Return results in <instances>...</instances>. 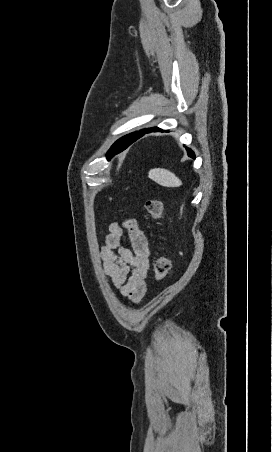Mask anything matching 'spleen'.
Returning <instances> with one entry per match:
<instances>
[{"label":"spleen","instance_id":"spleen-1","mask_svg":"<svg viewBox=\"0 0 272 452\" xmlns=\"http://www.w3.org/2000/svg\"><path fill=\"white\" fill-rule=\"evenodd\" d=\"M148 177L159 185L165 187H179L182 185L181 180L174 173L163 168H155L150 170Z\"/></svg>","mask_w":272,"mask_h":452}]
</instances>
